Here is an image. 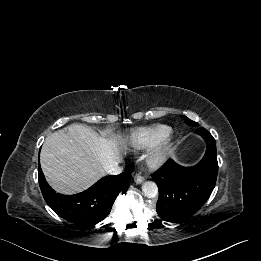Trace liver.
<instances>
[{
    "label": "liver",
    "mask_w": 261,
    "mask_h": 261,
    "mask_svg": "<svg viewBox=\"0 0 261 261\" xmlns=\"http://www.w3.org/2000/svg\"><path fill=\"white\" fill-rule=\"evenodd\" d=\"M121 159L116 136L101 137L80 124L49 135L40 153L46 180L63 194L89 188Z\"/></svg>",
    "instance_id": "liver-1"
}]
</instances>
